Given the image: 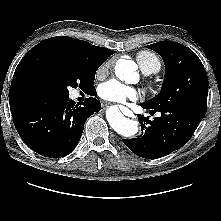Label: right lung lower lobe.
Masks as SVG:
<instances>
[{"instance_id":"obj_1","label":"right lung lower lobe","mask_w":221,"mask_h":221,"mask_svg":"<svg viewBox=\"0 0 221 221\" xmlns=\"http://www.w3.org/2000/svg\"><path fill=\"white\" fill-rule=\"evenodd\" d=\"M9 102L22 140L33 151L50 158L70 154L81 138L87 118L101 110V103L92 97L80 106L69 96L31 90L14 91Z\"/></svg>"}]
</instances>
